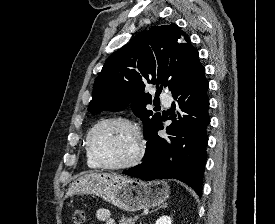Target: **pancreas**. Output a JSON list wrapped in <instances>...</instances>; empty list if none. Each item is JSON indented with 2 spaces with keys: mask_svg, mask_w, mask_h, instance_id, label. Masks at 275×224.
<instances>
[{
  "mask_svg": "<svg viewBox=\"0 0 275 224\" xmlns=\"http://www.w3.org/2000/svg\"><path fill=\"white\" fill-rule=\"evenodd\" d=\"M137 216L135 217H130V218H127V217H122L120 220H119V224H135V221L137 220Z\"/></svg>",
  "mask_w": 275,
  "mask_h": 224,
  "instance_id": "obj_1",
  "label": "pancreas"
}]
</instances>
